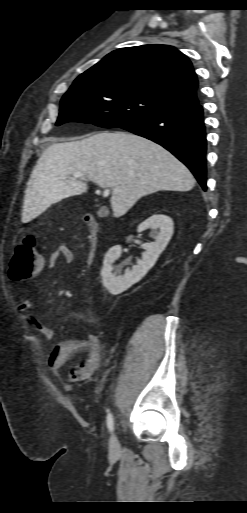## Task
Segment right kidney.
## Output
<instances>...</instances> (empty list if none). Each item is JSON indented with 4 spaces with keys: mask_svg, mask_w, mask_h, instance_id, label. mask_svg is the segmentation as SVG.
I'll return each instance as SVG.
<instances>
[{
    "mask_svg": "<svg viewBox=\"0 0 247 513\" xmlns=\"http://www.w3.org/2000/svg\"><path fill=\"white\" fill-rule=\"evenodd\" d=\"M173 220L163 214H155L146 219L138 226V232L151 229V235L154 242L142 244L145 252L142 259L132 267V270H126L124 275L116 276L113 271V263L117 260L122 249L120 245L113 246L105 255L103 268L101 270L102 282L104 287L113 295H117L127 290L133 284L137 283L154 266L159 255L164 251L169 240L173 235ZM132 240V236L127 238ZM136 243L140 241L135 240Z\"/></svg>",
    "mask_w": 247,
    "mask_h": 513,
    "instance_id": "1",
    "label": "right kidney"
}]
</instances>
